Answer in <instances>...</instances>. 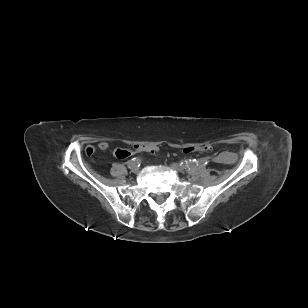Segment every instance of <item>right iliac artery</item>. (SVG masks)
<instances>
[{"instance_id":"1","label":"right iliac artery","mask_w":308,"mask_h":308,"mask_svg":"<svg viewBox=\"0 0 308 308\" xmlns=\"http://www.w3.org/2000/svg\"><path fill=\"white\" fill-rule=\"evenodd\" d=\"M140 163H141V159L140 158H133L131 159L130 161H128V167L129 168H133V167H136V166H140Z\"/></svg>"}]
</instances>
